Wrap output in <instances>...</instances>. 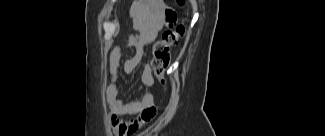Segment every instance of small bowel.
I'll return each mask as SVG.
<instances>
[{"label": "small bowel", "mask_w": 325, "mask_h": 136, "mask_svg": "<svg viewBox=\"0 0 325 136\" xmlns=\"http://www.w3.org/2000/svg\"><path fill=\"white\" fill-rule=\"evenodd\" d=\"M162 26V20L157 19L139 36L138 40L133 44L135 55L124 65L126 72L134 69L141 59L142 49L157 38ZM121 58L122 51L120 48H115L110 52L109 79L105 95L110 110V122L113 132L117 136H130L154 118L156 108L154 107L153 95L149 93L132 102H125L119 98L118 84L120 80ZM141 79L142 83L147 87H151L154 84L153 74L149 65L144 67ZM124 115H135V118L123 120L121 116Z\"/></svg>", "instance_id": "obj_1"}]
</instances>
